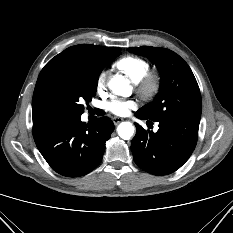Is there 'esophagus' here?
I'll use <instances>...</instances> for the list:
<instances>
[{
	"mask_svg": "<svg viewBox=\"0 0 233 233\" xmlns=\"http://www.w3.org/2000/svg\"><path fill=\"white\" fill-rule=\"evenodd\" d=\"M112 121L115 125L119 124L121 121H123V118L120 117H113Z\"/></svg>",
	"mask_w": 233,
	"mask_h": 233,
	"instance_id": "34e87169",
	"label": "esophagus"
}]
</instances>
